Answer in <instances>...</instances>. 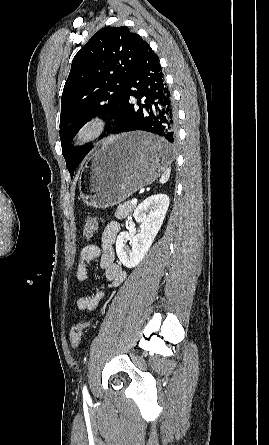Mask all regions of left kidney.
Masks as SVG:
<instances>
[{
    "label": "left kidney",
    "mask_w": 269,
    "mask_h": 445,
    "mask_svg": "<svg viewBox=\"0 0 269 445\" xmlns=\"http://www.w3.org/2000/svg\"><path fill=\"white\" fill-rule=\"evenodd\" d=\"M169 207L166 194H155L145 199L134 211V218L140 222L137 235L121 232L116 240V253L121 263L127 268L137 266L147 254L158 231L160 230ZM129 241L131 250L126 246Z\"/></svg>",
    "instance_id": "left-kidney-1"
}]
</instances>
